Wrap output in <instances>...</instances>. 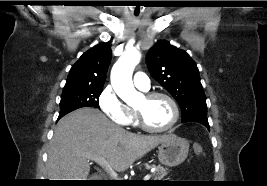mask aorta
Instances as JSON below:
<instances>
[{"instance_id": "aorta-1", "label": "aorta", "mask_w": 267, "mask_h": 186, "mask_svg": "<svg viewBox=\"0 0 267 186\" xmlns=\"http://www.w3.org/2000/svg\"><path fill=\"white\" fill-rule=\"evenodd\" d=\"M141 54L136 49L126 50L111 71V84L117 95L126 103L131 104L140 99L132 81L135 66L140 62Z\"/></svg>"}]
</instances>
